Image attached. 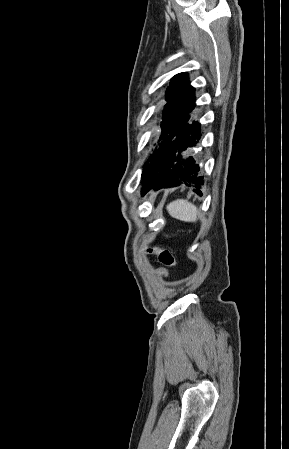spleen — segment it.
I'll return each instance as SVG.
<instances>
[{
  "label": "spleen",
  "mask_w": 289,
  "mask_h": 449,
  "mask_svg": "<svg viewBox=\"0 0 289 449\" xmlns=\"http://www.w3.org/2000/svg\"><path fill=\"white\" fill-rule=\"evenodd\" d=\"M167 211L171 217L184 221L195 222L198 216L197 207L184 199H177L167 205Z\"/></svg>",
  "instance_id": "spleen-1"
}]
</instances>
